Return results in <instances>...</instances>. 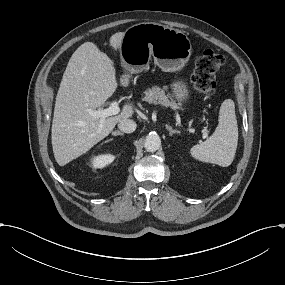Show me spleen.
<instances>
[{
    "label": "spleen",
    "instance_id": "1",
    "mask_svg": "<svg viewBox=\"0 0 285 285\" xmlns=\"http://www.w3.org/2000/svg\"><path fill=\"white\" fill-rule=\"evenodd\" d=\"M238 142V128L234 102L226 99L220 106L219 125L202 144L189 150L190 156L203 163L228 167L233 162Z\"/></svg>",
    "mask_w": 285,
    "mask_h": 285
}]
</instances>
